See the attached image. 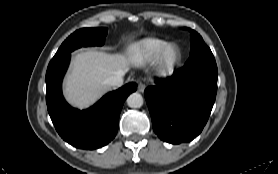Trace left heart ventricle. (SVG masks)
Returning a JSON list of instances; mask_svg holds the SVG:
<instances>
[{
  "label": "left heart ventricle",
  "instance_id": "1",
  "mask_svg": "<svg viewBox=\"0 0 278 174\" xmlns=\"http://www.w3.org/2000/svg\"><path fill=\"white\" fill-rule=\"evenodd\" d=\"M177 52L175 49H170L166 55L167 60H172L175 58Z\"/></svg>",
  "mask_w": 278,
  "mask_h": 174
}]
</instances>
